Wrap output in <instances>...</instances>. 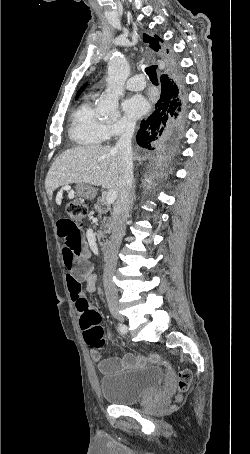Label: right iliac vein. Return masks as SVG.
<instances>
[{
  "label": "right iliac vein",
  "instance_id": "1",
  "mask_svg": "<svg viewBox=\"0 0 250 454\" xmlns=\"http://www.w3.org/2000/svg\"><path fill=\"white\" fill-rule=\"evenodd\" d=\"M111 312H112V314H113L120 322H123V321H124L123 316H121V315L118 313V309H117V308H112V309H111Z\"/></svg>",
  "mask_w": 250,
  "mask_h": 454
}]
</instances>
